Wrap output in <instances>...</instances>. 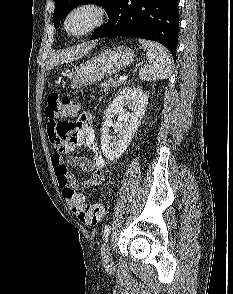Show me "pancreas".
Segmentation results:
<instances>
[{
    "instance_id": "cf45deb5",
    "label": "pancreas",
    "mask_w": 233,
    "mask_h": 294,
    "mask_svg": "<svg viewBox=\"0 0 233 294\" xmlns=\"http://www.w3.org/2000/svg\"><path fill=\"white\" fill-rule=\"evenodd\" d=\"M123 84H124V81L110 78L108 80L103 81L100 86H101V88L104 89V92H107L108 90H110L112 88L119 87Z\"/></svg>"
}]
</instances>
